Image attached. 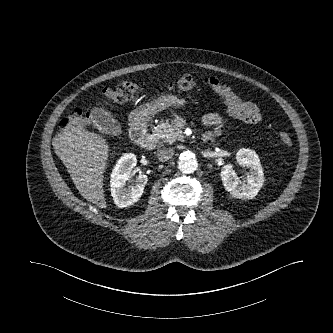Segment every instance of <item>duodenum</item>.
<instances>
[{"instance_id": "410a0bca", "label": "duodenum", "mask_w": 333, "mask_h": 333, "mask_svg": "<svg viewBox=\"0 0 333 333\" xmlns=\"http://www.w3.org/2000/svg\"><path fill=\"white\" fill-rule=\"evenodd\" d=\"M130 135L132 141L142 149L151 150L155 146V138L147 130L146 115H138L133 119ZM208 137L205 135L204 139L207 140Z\"/></svg>"}]
</instances>
